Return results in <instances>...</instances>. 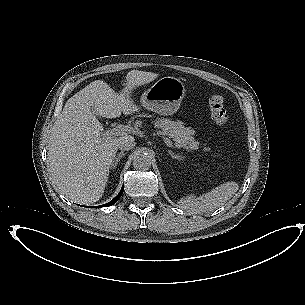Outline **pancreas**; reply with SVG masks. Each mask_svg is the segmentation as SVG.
I'll return each instance as SVG.
<instances>
[{"instance_id":"pancreas-1","label":"pancreas","mask_w":305,"mask_h":305,"mask_svg":"<svg viewBox=\"0 0 305 305\" xmlns=\"http://www.w3.org/2000/svg\"><path fill=\"white\" fill-rule=\"evenodd\" d=\"M158 126L164 134L175 141L178 148H183L187 151L197 150L199 148V142L195 141L193 137L194 130L185 127L181 122L163 119L158 123Z\"/></svg>"}]
</instances>
